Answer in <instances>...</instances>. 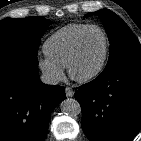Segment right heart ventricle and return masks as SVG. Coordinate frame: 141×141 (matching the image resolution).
<instances>
[{"label": "right heart ventricle", "mask_w": 141, "mask_h": 141, "mask_svg": "<svg viewBox=\"0 0 141 141\" xmlns=\"http://www.w3.org/2000/svg\"><path fill=\"white\" fill-rule=\"evenodd\" d=\"M88 26L85 23H72L54 32L43 45L45 55L63 67L67 66L78 36Z\"/></svg>", "instance_id": "obj_1"}]
</instances>
